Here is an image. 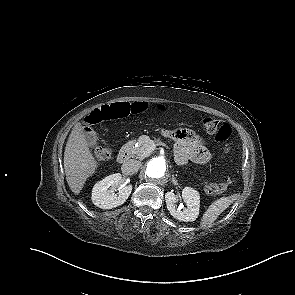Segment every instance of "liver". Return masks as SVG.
Listing matches in <instances>:
<instances>
[{
  "label": "liver",
  "instance_id": "liver-1",
  "mask_svg": "<svg viewBox=\"0 0 295 295\" xmlns=\"http://www.w3.org/2000/svg\"><path fill=\"white\" fill-rule=\"evenodd\" d=\"M98 166V162L89 150L85 134L79 126L75 127L64 152L66 180L74 194L80 193L87 178L95 173Z\"/></svg>",
  "mask_w": 295,
  "mask_h": 295
}]
</instances>
